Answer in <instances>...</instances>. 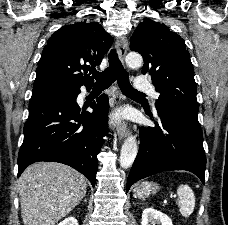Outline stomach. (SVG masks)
Segmentation results:
<instances>
[{
  "label": "stomach",
  "instance_id": "0dacf381",
  "mask_svg": "<svg viewBox=\"0 0 228 225\" xmlns=\"http://www.w3.org/2000/svg\"><path fill=\"white\" fill-rule=\"evenodd\" d=\"M160 187H158L157 183H148V181H144L141 185H136L134 189L135 197H139V199H143V197H150V195H155L158 193Z\"/></svg>",
  "mask_w": 228,
  "mask_h": 225
}]
</instances>
